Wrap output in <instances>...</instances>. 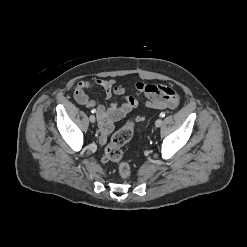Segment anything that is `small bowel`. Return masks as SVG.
Here are the masks:
<instances>
[{
    "instance_id": "small-bowel-1",
    "label": "small bowel",
    "mask_w": 247,
    "mask_h": 247,
    "mask_svg": "<svg viewBox=\"0 0 247 247\" xmlns=\"http://www.w3.org/2000/svg\"><path fill=\"white\" fill-rule=\"evenodd\" d=\"M99 86L104 91V97L111 99L114 95L124 96L127 87L118 85L114 79L93 81H79L74 89L75 100L86 107L94 108L98 115L100 127V142L105 144L108 136L114 130L115 122L125 117L131 110L138 106L140 100L153 109H174L179 103V94L171 86L165 84H149L138 81L132 84L135 90V96H124V102L119 104L117 100H111L107 105L89 98L86 90ZM140 96H144L141 99Z\"/></svg>"
}]
</instances>
